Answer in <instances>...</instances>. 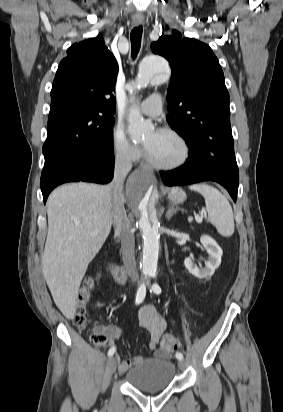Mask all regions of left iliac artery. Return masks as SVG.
I'll use <instances>...</instances> for the list:
<instances>
[{"instance_id":"1","label":"left iliac artery","mask_w":283,"mask_h":412,"mask_svg":"<svg viewBox=\"0 0 283 412\" xmlns=\"http://www.w3.org/2000/svg\"><path fill=\"white\" fill-rule=\"evenodd\" d=\"M152 291H153L154 293H156V294H160V293H161V288H160V286H159L157 283H154V284L152 285ZM176 358H177L178 360H182V359H183V354L180 353V352H177V353H176Z\"/></svg>"}]
</instances>
